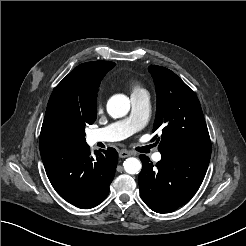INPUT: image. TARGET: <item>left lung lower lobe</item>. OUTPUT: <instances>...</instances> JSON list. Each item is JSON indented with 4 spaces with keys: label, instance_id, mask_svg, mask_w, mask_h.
<instances>
[{
    "label": "left lung lower lobe",
    "instance_id": "obj_1",
    "mask_svg": "<svg viewBox=\"0 0 246 246\" xmlns=\"http://www.w3.org/2000/svg\"><path fill=\"white\" fill-rule=\"evenodd\" d=\"M155 165L140 155L142 170L138 177L140 194L155 212L169 213L187 203L201 185L210 154L189 151L161 152Z\"/></svg>",
    "mask_w": 246,
    "mask_h": 246
}]
</instances>
